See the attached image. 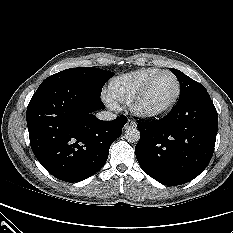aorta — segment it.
Instances as JSON below:
<instances>
[{
    "instance_id": "obj_1",
    "label": "aorta",
    "mask_w": 233,
    "mask_h": 233,
    "mask_svg": "<svg viewBox=\"0 0 233 233\" xmlns=\"http://www.w3.org/2000/svg\"><path fill=\"white\" fill-rule=\"evenodd\" d=\"M125 139L130 143L138 142L140 139L139 130L134 126L128 127L125 131Z\"/></svg>"
}]
</instances>
